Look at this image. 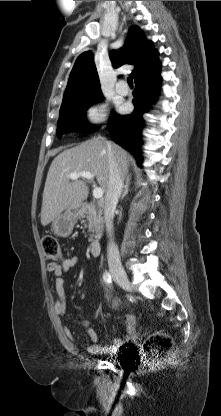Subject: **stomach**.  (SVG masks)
I'll return each instance as SVG.
<instances>
[{
    "label": "stomach",
    "mask_w": 221,
    "mask_h": 416,
    "mask_svg": "<svg viewBox=\"0 0 221 416\" xmlns=\"http://www.w3.org/2000/svg\"><path fill=\"white\" fill-rule=\"evenodd\" d=\"M79 212L77 210L75 211H66L63 214H60L52 221V231L55 235L59 237H68L71 235L76 218L78 216Z\"/></svg>",
    "instance_id": "obj_1"
}]
</instances>
